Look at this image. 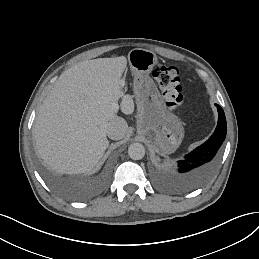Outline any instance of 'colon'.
Returning <instances> with one entry per match:
<instances>
[{
	"instance_id": "obj_1",
	"label": "colon",
	"mask_w": 259,
	"mask_h": 259,
	"mask_svg": "<svg viewBox=\"0 0 259 259\" xmlns=\"http://www.w3.org/2000/svg\"><path fill=\"white\" fill-rule=\"evenodd\" d=\"M153 77L168 108L179 109L183 105L184 97L178 69L174 66L158 64L153 69Z\"/></svg>"
}]
</instances>
